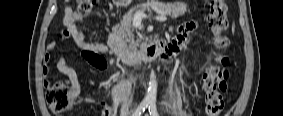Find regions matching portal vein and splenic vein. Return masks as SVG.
<instances>
[{
    "label": "portal vein and splenic vein",
    "mask_w": 283,
    "mask_h": 116,
    "mask_svg": "<svg viewBox=\"0 0 283 116\" xmlns=\"http://www.w3.org/2000/svg\"><path fill=\"white\" fill-rule=\"evenodd\" d=\"M145 18H148V16L146 14H144L143 12H137L134 15L135 20H142V19H145ZM154 19L157 20V21H160V22H165L167 20V17H166L165 14H161L160 16H156Z\"/></svg>",
    "instance_id": "portal-vein-and-splenic-vein-1"
}]
</instances>
